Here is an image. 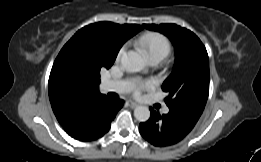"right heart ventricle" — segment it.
Listing matches in <instances>:
<instances>
[{"mask_svg":"<svg viewBox=\"0 0 261 162\" xmlns=\"http://www.w3.org/2000/svg\"><path fill=\"white\" fill-rule=\"evenodd\" d=\"M139 44L146 50L148 58H166L171 51V44L167 37L160 33L149 32L139 38Z\"/></svg>","mask_w":261,"mask_h":162,"instance_id":"obj_1","label":"right heart ventricle"}]
</instances>
